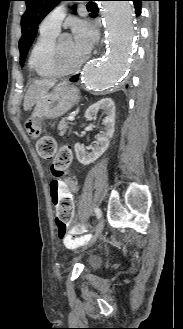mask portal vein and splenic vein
I'll use <instances>...</instances> for the list:
<instances>
[{
	"label": "portal vein and splenic vein",
	"mask_w": 183,
	"mask_h": 329,
	"mask_svg": "<svg viewBox=\"0 0 183 329\" xmlns=\"http://www.w3.org/2000/svg\"><path fill=\"white\" fill-rule=\"evenodd\" d=\"M68 120L73 121L74 120V116L73 115H69L68 116Z\"/></svg>",
	"instance_id": "1"
}]
</instances>
